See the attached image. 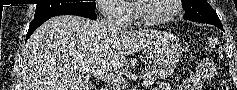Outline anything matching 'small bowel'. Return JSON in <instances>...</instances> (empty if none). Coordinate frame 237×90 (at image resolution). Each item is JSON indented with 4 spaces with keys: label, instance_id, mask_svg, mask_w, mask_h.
Segmentation results:
<instances>
[{
    "label": "small bowel",
    "instance_id": "c3829d8e",
    "mask_svg": "<svg viewBox=\"0 0 237 90\" xmlns=\"http://www.w3.org/2000/svg\"><path fill=\"white\" fill-rule=\"evenodd\" d=\"M215 72L212 63L204 62L199 65L196 72L189 76L177 88L171 87L169 84L163 83L156 90H201L203 82L209 80Z\"/></svg>",
    "mask_w": 237,
    "mask_h": 90
}]
</instances>
